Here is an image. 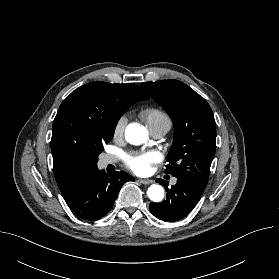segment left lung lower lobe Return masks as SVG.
Masks as SVG:
<instances>
[{
  "label": "left lung lower lobe",
  "mask_w": 279,
  "mask_h": 279,
  "mask_svg": "<svg viewBox=\"0 0 279 279\" xmlns=\"http://www.w3.org/2000/svg\"><path fill=\"white\" fill-rule=\"evenodd\" d=\"M164 185V181L161 179ZM167 190V199L161 203H150V212L165 222H174L188 215L200 200L205 187L186 179H177V184Z\"/></svg>",
  "instance_id": "obj_1"
}]
</instances>
